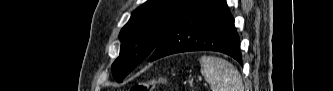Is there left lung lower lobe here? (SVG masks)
<instances>
[{
	"instance_id": "0a47b994",
	"label": "left lung lower lobe",
	"mask_w": 333,
	"mask_h": 91,
	"mask_svg": "<svg viewBox=\"0 0 333 91\" xmlns=\"http://www.w3.org/2000/svg\"><path fill=\"white\" fill-rule=\"evenodd\" d=\"M187 51H218L241 63L239 36L225 0H197L157 45L149 61Z\"/></svg>"
}]
</instances>
